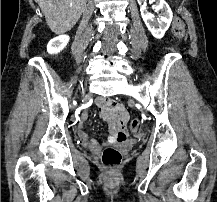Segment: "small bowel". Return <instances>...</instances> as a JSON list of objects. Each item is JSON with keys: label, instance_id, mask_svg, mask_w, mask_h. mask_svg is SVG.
<instances>
[{"label": "small bowel", "instance_id": "c3829d8e", "mask_svg": "<svg viewBox=\"0 0 217 202\" xmlns=\"http://www.w3.org/2000/svg\"><path fill=\"white\" fill-rule=\"evenodd\" d=\"M97 109H100V116L105 118V121L109 122V128L111 135L105 139V144L123 145L128 139L127 123L129 120V114L124 108L123 104H119V101H96ZM117 113H122L117 115ZM86 115H83V119ZM77 134L82 140L83 144L92 149L98 150L100 148V142L96 139H90L88 134L79 125L77 128Z\"/></svg>", "mask_w": 217, "mask_h": 202}]
</instances>
